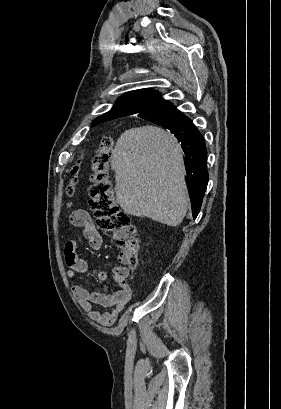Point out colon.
<instances>
[{"label":"colon","mask_w":281,"mask_h":409,"mask_svg":"<svg viewBox=\"0 0 281 409\" xmlns=\"http://www.w3.org/2000/svg\"><path fill=\"white\" fill-rule=\"evenodd\" d=\"M114 147L108 136L101 142V148L92 158L91 201L90 206L97 226L116 234L115 241L119 257L132 267L137 264L138 240L133 236L134 225L130 216L118 206L111 178V160ZM84 159L79 157L72 167L73 178L67 187V194L72 196L79 183L78 175Z\"/></svg>","instance_id":"colon-1"}]
</instances>
